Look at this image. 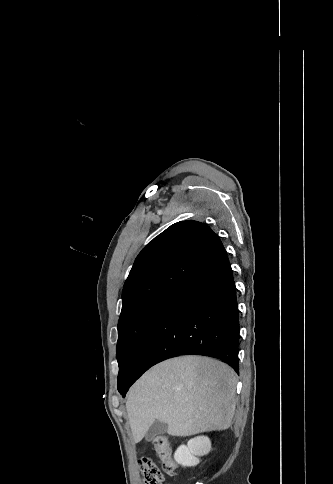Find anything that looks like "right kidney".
<instances>
[{
	"label": "right kidney",
	"mask_w": 333,
	"mask_h": 484,
	"mask_svg": "<svg viewBox=\"0 0 333 484\" xmlns=\"http://www.w3.org/2000/svg\"><path fill=\"white\" fill-rule=\"evenodd\" d=\"M210 450V439L206 436H199L189 440L187 445L178 447L174 459L182 466L194 467L199 464V457L208 454Z\"/></svg>",
	"instance_id": "obj_1"
}]
</instances>
